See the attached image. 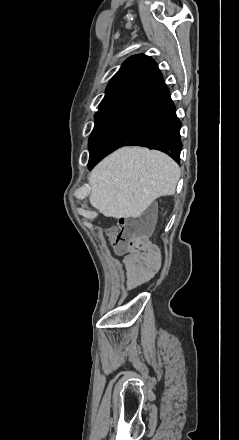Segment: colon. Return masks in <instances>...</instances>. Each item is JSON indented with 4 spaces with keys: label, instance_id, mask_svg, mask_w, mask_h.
<instances>
[{
    "label": "colon",
    "instance_id": "colon-1",
    "mask_svg": "<svg viewBox=\"0 0 239 440\" xmlns=\"http://www.w3.org/2000/svg\"><path fill=\"white\" fill-rule=\"evenodd\" d=\"M145 230L135 220H123L118 231H110L111 244L118 253L145 244Z\"/></svg>",
    "mask_w": 239,
    "mask_h": 440
}]
</instances>
